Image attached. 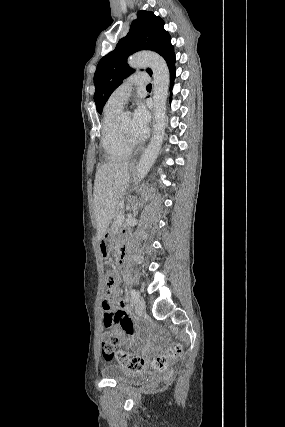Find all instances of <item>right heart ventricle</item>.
I'll return each mask as SVG.
<instances>
[{"label": "right heart ventricle", "mask_w": 285, "mask_h": 427, "mask_svg": "<svg viewBox=\"0 0 285 427\" xmlns=\"http://www.w3.org/2000/svg\"><path fill=\"white\" fill-rule=\"evenodd\" d=\"M120 111L121 107L108 102L103 112L101 143L107 158L111 161L127 160L132 153V147L124 142L118 130Z\"/></svg>", "instance_id": "1"}]
</instances>
